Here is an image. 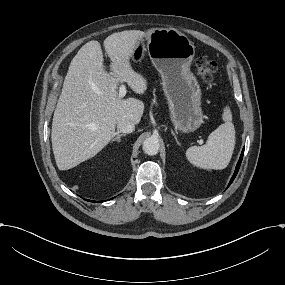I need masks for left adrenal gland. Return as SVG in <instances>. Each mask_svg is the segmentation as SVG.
<instances>
[{"label": "left adrenal gland", "instance_id": "obj_1", "mask_svg": "<svg viewBox=\"0 0 285 285\" xmlns=\"http://www.w3.org/2000/svg\"><path fill=\"white\" fill-rule=\"evenodd\" d=\"M171 133H172V135L174 136V139H175L176 143H177V144H180L179 141H178V139H177V137H176V134L174 133L173 130H171Z\"/></svg>", "mask_w": 285, "mask_h": 285}]
</instances>
